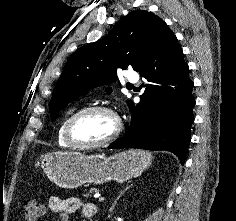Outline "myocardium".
I'll return each mask as SVG.
<instances>
[{
    "label": "myocardium",
    "mask_w": 236,
    "mask_h": 221,
    "mask_svg": "<svg viewBox=\"0 0 236 221\" xmlns=\"http://www.w3.org/2000/svg\"><path fill=\"white\" fill-rule=\"evenodd\" d=\"M94 112H104L109 114L116 123V128L111 137H109L106 140L96 142V143H90V144H82L77 142L72 135V130L75 125V123L82 118L83 116L94 113ZM122 122L120 119V116L118 113L111 107L106 106V105H91L85 108L80 109L79 111L75 112L70 118L67 120L64 128V138L66 142L75 149H80V150H91V149H98V148H103L106 146L111 145L114 143L120 136L122 132Z\"/></svg>",
    "instance_id": "f54148a6"
}]
</instances>
